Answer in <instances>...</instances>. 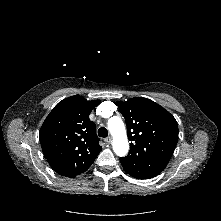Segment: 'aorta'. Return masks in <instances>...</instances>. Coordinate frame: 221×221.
Here are the masks:
<instances>
[{
    "label": "aorta",
    "instance_id": "1",
    "mask_svg": "<svg viewBox=\"0 0 221 221\" xmlns=\"http://www.w3.org/2000/svg\"><path fill=\"white\" fill-rule=\"evenodd\" d=\"M108 129L113 137V151L120 157L125 156L129 150L126 129L123 121L118 116L108 120Z\"/></svg>",
    "mask_w": 221,
    "mask_h": 221
}]
</instances>
